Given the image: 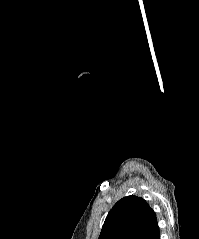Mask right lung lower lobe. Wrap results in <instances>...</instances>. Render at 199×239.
Returning <instances> with one entry per match:
<instances>
[{
    "label": "right lung lower lobe",
    "mask_w": 199,
    "mask_h": 239,
    "mask_svg": "<svg viewBox=\"0 0 199 239\" xmlns=\"http://www.w3.org/2000/svg\"><path fill=\"white\" fill-rule=\"evenodd\" d=\"M142 239H160L159 227L156 225Z\"/></svg>",
    "instance_id": "1"
}]
</instances>
